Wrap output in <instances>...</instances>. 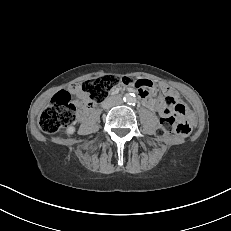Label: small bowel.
Masks as SVG:
<instances>
[{
	"label": "small bowel",
	"mask_w": 231,
	"mask_h": 231,
	"mask_svg": "<svg viewBox=\"0 0 231 231\" xmlns=\"http://www.w3.org/2000/svg\"><path fill=\"white\" fill-rule=\"evenodd\" d=\"M72 92L76 95L77 98H82L84 96L82 90H81V85L79 84H75L72 86L71 88ZM161 90L163 91V93L172 98L175 101L179 100L178 94L177 92L172 89L171 87L167 86V85H163L161 86ZM144 101L146 103V106L155 111V112H159L161 115L167 114L169 113V110L163 105V102L160 100H155V99H151L150 97H144Z\"/></svg>",
	"instance_id": "obj_1"
}]
</instances>
